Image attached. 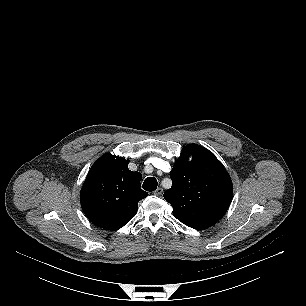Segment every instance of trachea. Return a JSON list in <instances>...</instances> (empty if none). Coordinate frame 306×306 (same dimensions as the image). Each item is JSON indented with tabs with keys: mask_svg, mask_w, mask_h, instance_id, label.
<instances>
[{
	"mask_svg": "<svg viewBox=\"0 0 306 306\" xmlns=\"http://www.w3.org/2000/svg\"><path fill=\"white\" fill-rule=\"evenodd\" d=\"M142 188L146 191L152 192L157 188V180L154 177H148L145 179Z\"/></svg>",
	"mask_w": 306,
	"mask_h": 306,
	"instance_id": "1",
	"label": "trachea"
}]
</instances>
